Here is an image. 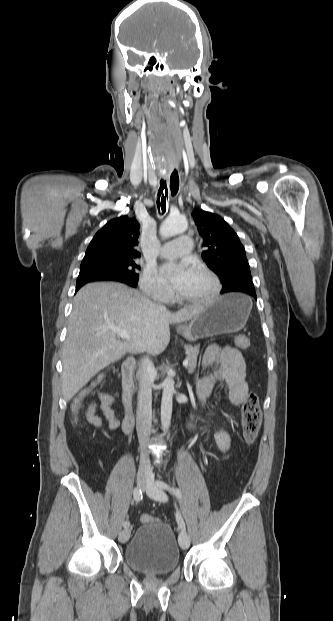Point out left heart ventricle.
Masks as SVG:
<instances>
[{"instance_id": "left-heart-ventricle-1", "label": "left heart ventricle", "mask_w": 333, "mask_h": 621, "mask_svg": "<svg viewBox=\"0 0 333 621\" xmlns=\"http://www.w3.org/2000/svg\"><path fill=\"white\" fill-rule=\"evenodd\" d=\"M213 284L204 274L193 270L192 276L186 286L179 291L183 297H201L212 291Z\"/></svg>"}]
</instances>
